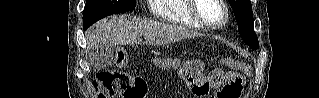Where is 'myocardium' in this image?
<instances>
[{"instance_id":"1","label":"myocardium","mask_w":319,"mask_h":98,"mask_svg":"<svg viewBox=\"0 0 319 98\" xmlns=\"http://www.w3.org/2000/svg\"><path fill=\"white\" fill-rule=\"evenodd\" d=\"M199 1L200 0H190V13L194 20H196L202 27L210 30H217L224 27L227 24L229 20V10L224 0H217L224 10V18L222 22L219 24H211L199 14V12L197 11Z\"/></svg>"}]
</instances>
